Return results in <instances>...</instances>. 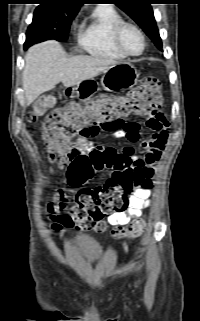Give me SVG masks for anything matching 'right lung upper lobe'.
Instances as JSON below:
<instances>
[{"mask_svg": "<svg viewBox=\"0 0 200 321\" xmlns=\"http://www.w3.org/2000/svg\"><path fill=\"white\" fill-rule=\"evenodd\" d=\"M86 0H40V7H47L54 13L78 12Z\"/></svg>", "mask_w": 200, "mask_h": 321, "instance_id": "1", "label": "right lung upper lobe"}]
</instances>
